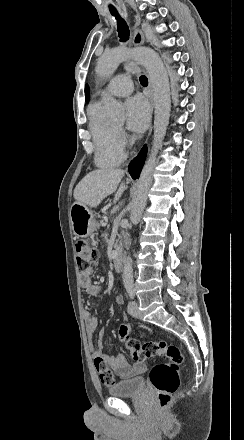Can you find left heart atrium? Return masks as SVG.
I'll use <instances>...</instances> for the list:
<instances>
[{
    "mask_svg": "<svg viewBox=\"0 0 244 440\" xmlns=\"http://www.w3.org/2000/svg\"><path fill=\"white\" fill-rule=\"evenodd\" d=\"M127 125L135 132H142L146 129L149 122V106L141 96L132 97L126 102Z\"/></svg>",
    "mask_w": 244,
    "mask_h": 440,
    "instance_id": "obj_1",
    "label": "left heart atrium"
}]
</instances>
